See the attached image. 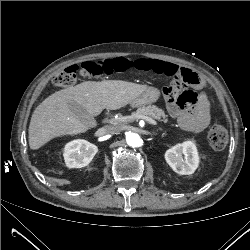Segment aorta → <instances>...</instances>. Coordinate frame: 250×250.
Instances as JSON below:
<instances>
[{"mask_svg":"<svg viewBox=\"0 0 250 250\" xmlns=\"http://www.w3.org/2000/svg\"><path fill=\"white\" fill-rule=\"evenodd\" d=\"M127 144L131 147H138L141 144V138L136 133H129L126 136Z\"/></svg>","mask_w":250,"mask_h":250,"instance_id":"aorta-1","label":"aorta"}]
</instances>
